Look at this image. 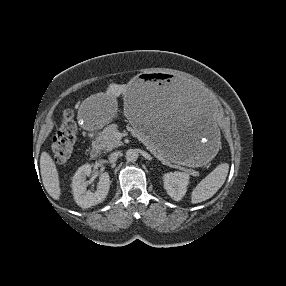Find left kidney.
Masks as SVG:
<instances>
[{"label": "left kidney", "mask_w": 286, "mask_h": 286, "mask_svg": "<svg viewBox=\"0 0 286 286\" xmlns=\"http://www.w3.org/2000/svg\"><path fill=\"white\" fill-rule=\"evenodd\" d=\"M189 174L185 172H170L163 176L164 188L175 201L183 198L189 184Z\"/></svg>", "instance_id": "obj_1"}]
</instances>
